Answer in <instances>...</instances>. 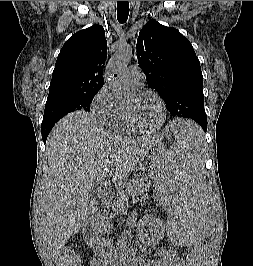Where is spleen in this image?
Returning <instances> with one entry per match:
<instances>
[{
    "label": "spleen",
    "instance_id": "1",
    "mask_svg": "<svg viewBox=\"0 0 253 266\" xmlns=\"http://www.w3.org/2000/svg\"><path fill=\"white\" fill-rule=\"evenodd\" d=\"M170 147L157 160L159 176H153L152 194L160 199L166 220V248H202L209 232V216L214 207H207L205 156L208 136L201 135L198 123L187 117H174L169 123Z\"/></svg>",
    "mask_w": 253,
    "mask_h": 266
}]
</instances>
